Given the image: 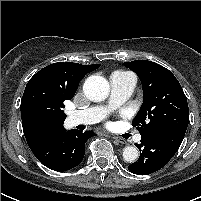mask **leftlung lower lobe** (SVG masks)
Returning a JSON list of instances; mask_svg holds the SVG:
<instances>
[{
	"label": "left lung lower lobe",
	"instance_id": "obj_1",
	"mask_svg": "<svg viewBox=\"0 0 201 201\" xmlns=\"http://www.w3.org/2000/svg\"><path fill=\"white\" fill-rule=\"evenodd\" d=\"M186 131L177 129L159 130L142 135L137 162L128 169L138 175H148L166 165L179 149Z\"/></svg>",
	"mask_w": 201,
	"mask_h": 201
}]
</instances>
